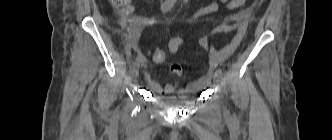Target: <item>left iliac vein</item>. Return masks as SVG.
Listing matches in <instances>:
<instances>
[{
  "mask_svg": "<svg viewBox=\"0 0 332 140\" xmlns=\"http://www.w3.org/2000/svg\"><path fill=\"white\" fill-rule=\"evenodd\" d=\"M215 82L218 84V91L221 92V76L217 73H215L214 77Z\"/></svg>",
  "mask_w": 332,
  "mask_h": 140,
  "instance_id": "4c4485c4",
  "label": "left iliac vein"
}]
</instances>
